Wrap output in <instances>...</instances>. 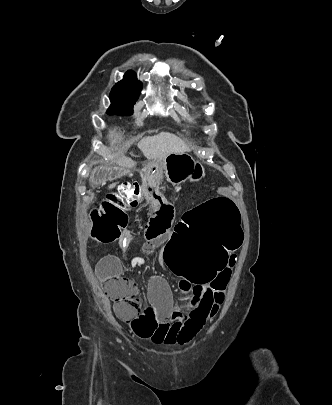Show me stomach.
<instances>
[{"label":"stomach","instance_id":"stomach-1","mask_svg":"<svg viewBox=\"0 0 332 405\" xmlns=\"http://www.w3.org/2000/svg\"><path fill=\"white\" fill-rule=\"evenodd\" d=\"M161 166L167 180L174 185L187 180L198 182L206 175L203 165L186 153H172L166 156L161 161Z\"/></svg>","mask_w":332,"mask_h":405}]
</instances>
